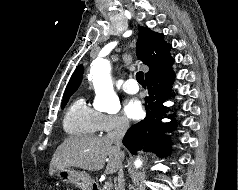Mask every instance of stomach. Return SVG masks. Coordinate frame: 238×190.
I'll use <instances>...</instances> for the list:
<instances>
[{
  "instance_id": "1",
  "label": "stomach",
  "mask_w": 238,
  "mask_h": 190,
  "mask_svg": "<svg viewBox=\"0 0 238 190\" xmlns=\"http://www.w3.org/2000/svg\"><path fill=\"white\" fill-rule=\"evenodd\" d=\"M57 178L64 183H71L81 190H92L94 180L84 171H78L70 167L58 169Z\"/></svg>"
}]
</instances>
